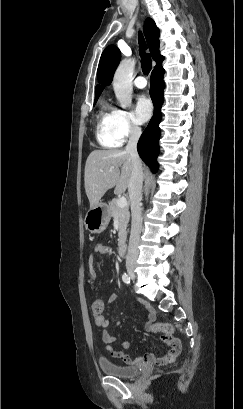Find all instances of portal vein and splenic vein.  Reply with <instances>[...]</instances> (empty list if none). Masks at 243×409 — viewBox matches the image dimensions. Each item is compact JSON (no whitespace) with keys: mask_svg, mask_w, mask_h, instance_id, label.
<instances>
[{"mask_svg":"<svg viewBox=\"0 0 243 409\" xmlns=\"http://www.w3.org/2000/svg\"><path fill=\"white\" fill-rule=\"evenodd\" d=\"M127 204H128L127 199L124 196L118 198V200H117L118 207L122 208V207L127 206Z\"/></svg>","mask_w":243,"mask_h":409,"instance_id":"obj_1","label":"portal vein and splenic vein"}]
</instances>
